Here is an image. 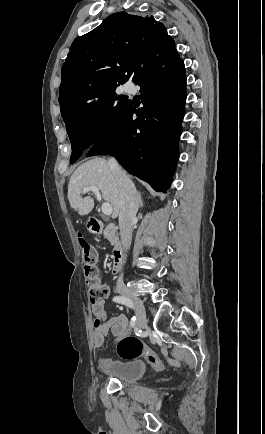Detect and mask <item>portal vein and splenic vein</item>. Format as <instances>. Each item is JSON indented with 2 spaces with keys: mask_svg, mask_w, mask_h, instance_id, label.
I'll return each instance as SVG.
<instances>
[{
  "mask_svg": "<svg viewBox=\"0 0 265 434\" xmlns=\"http://www.w3.org/2000/svg\"><path fill=\"white\" fill-rule=\"evenodd\" d=\"M83 192H93V194H95L98 202H101V200H102L101 194L99 192V188H97V186H87V188H83ZM101 210H102L103 214H105V216H111V214L113 212L112 206H111V204H108V202H106V204H102Z\"/></svg>",
  "mask_w": 265,
  "mask_h": 434,
  "instance_id": "obj_1",
  "label": "portal vein and splenic vein"
}]
</instances>
